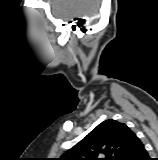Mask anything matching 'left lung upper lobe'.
Wrapping results in <instances>:
<instances>
[{"label": "left lung upper lobe", "mask_w": 158, "mask_h": 160, "mask_svg": "<svg viewBox=\"0 0 158 160\" xmlns=\"http://www.w3.org/2000/svg\"><path fill=\"white\" fill-rule=\"evenodd\" d=\"M135 137L136 134L128 126L109 119L94 128L58 160H125Z\"/></svg>", "instance_id": "left-lung-upper-lobe-1"}]
</instances>
